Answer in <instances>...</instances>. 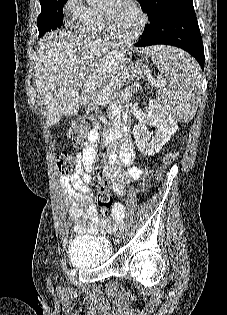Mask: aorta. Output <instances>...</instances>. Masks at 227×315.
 Masks as SVG:
<instances>
[{"label": "aorta", "instance_id": "762f6f07", "mask_svg": "<svg viewBox=\"0 0 227 315\" xmlns=\"http://www.w3.org/2000/svg\"><path fill=\"white\" fill-rule=\"evenodd\" d=\"M86 2L90 5L101 4L104 0H86Z\"/></svg>", "mask_w": 227, "mask_h": 315}]
</instances>
